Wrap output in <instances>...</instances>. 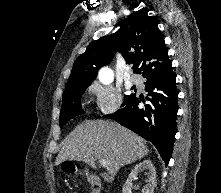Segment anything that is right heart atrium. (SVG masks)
<instances>
[{
  "mask_svg": "<svg viewBox=\"0 0 221 193\" xmlns=\"http://www.w3.org/2000/svg\"><path fill=\"white\" fill-rule=\"evenodd\" d=\"M89 95L94 101L96 109L102 115L115 113L122 105V95L110 86L99 84L92 85L89 88Z\"/></svg>",
  "mask_w": 221,
  "mask_h": 193,
  "instance_id": "obj_1",
  "label": "right heart atrium"
}]
</instances>
